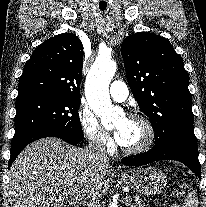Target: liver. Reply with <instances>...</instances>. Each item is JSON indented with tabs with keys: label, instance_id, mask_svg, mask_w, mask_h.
Instances as JSON below:
<instances>
[{
	"label": "liver",
	"instance_id": "1",
	"mask_svg": "<svg viewBox=\"0 0 206 207\" xmlns=\"http://www.w3.org/2000/svg\"><path fill=\"white\" fill-rule=\"evenodd\" d=\"M108 161L95 159L88 149L59 138H43L28 145L9 172L11 207H66V192L83 200L100 198L109 189Z\"/></svg>",
	"mask_w": 206,
	"mask_h": 207
}]
</instances>
